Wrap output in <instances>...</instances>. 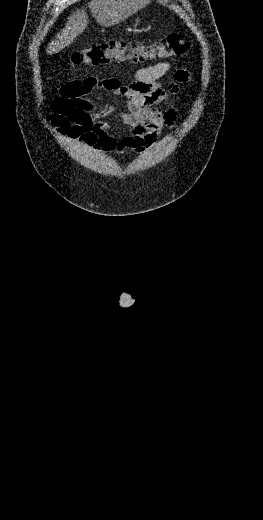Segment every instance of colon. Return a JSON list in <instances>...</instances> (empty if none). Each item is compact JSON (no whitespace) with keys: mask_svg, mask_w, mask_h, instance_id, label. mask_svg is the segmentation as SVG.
I'll return each mask as SVG.
<instances>
[{"mask_svg":"<svg viewBox=\"0 0 263 520\" xmlns=\"http://www.w3.org/2000/svg\"><path fill=\"white\" fill-rule=\"evenodd\" d=\"M189 42L181 33H171L161 40L144 44L139 41L110 40L75 51L71 61L75 65L96 66L111 61L143 62L179 57L185 53Z\"/></svg>","mask_w":263,"mask_h":520,"instance_id":"obj_1","label":"colon"}]
</instances>
